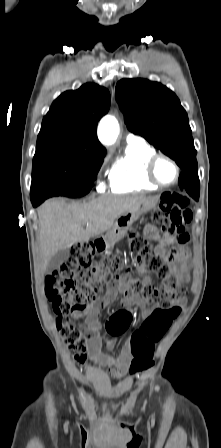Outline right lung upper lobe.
<instances>
[{"instance_id": "1", "label": "right lung upper lobe", "mask_w": 221, "mask_h": 448, "mask_svg": "<svg viewBox=\"0 0 221 448\" xmlns=\"http://www.w3.org/2000/svg\"><path fill=\"white\" fill-rule=\"evenodd\" d=\"M109 91L87 83L78 90L62 93L44 117L36 148L69 145L106 153L97 138V123L110 107Z\"/></svg>"}]
</instances>
